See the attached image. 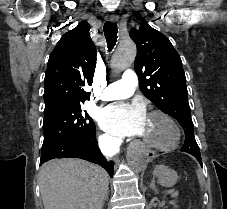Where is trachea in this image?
I'll return each mask as SVG.
<instances>
[{"label": "trachea", "instance_id": "trachea-1", "mask_svg": "<svg viewBox=\"0 0 227 209\" xmlns=\"http://www.w3.org/2000/svg\"><path fill=\"white\" fill-rule=\"evenodd\" d=\"M103 30L107 40L108 50L111 51L117 42V24L113 22H105Z\"/></svg>", "mask_w": 227, "mask_h": 209}]
</instances>
